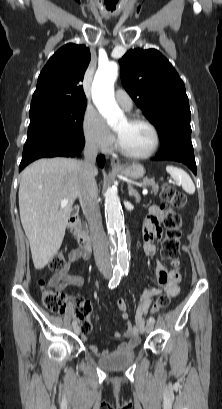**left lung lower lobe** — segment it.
Masks as SVG:
<instances>
[{"mask_svg":"<svg viewBox=\"0 0 222 409\" xmlns=\"http://www.w3.org/2000/svg\"><path fill=\"white\" fill-rule=\"evenodd\" d=\"M154 160H171L182 162L187 165L196 175V163L191 142L173 141L161 146L158 155Z\"/></svg>","mask_w":222,"mask_h":409,"instance_id":"left-lung-lower-lobe-1","label":"left lung lower lobe"}]
</instances>
